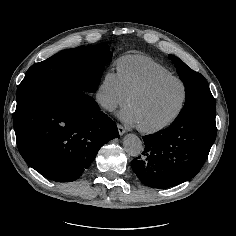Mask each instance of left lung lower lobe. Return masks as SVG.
Segmentation results:
<instances>
[{
	"label": "left lung lower lobe",
	"mask_w": 236,
	"mask_h": 236,
	"mask_svg": "<svg viewBox=\"0 0 236 236\" xmlns=\"http://www.w3.org/2000/svg\"><path fill=\"white\" fill-rule=\"evenodd\" d=\"M215 114L191 112L178 116L168 128L143 137L145 149L131 166L140 181L168 188L193 178L216 138Z\"/></svg>",
	"instance_id": "obj_1"
}]
</instances>
